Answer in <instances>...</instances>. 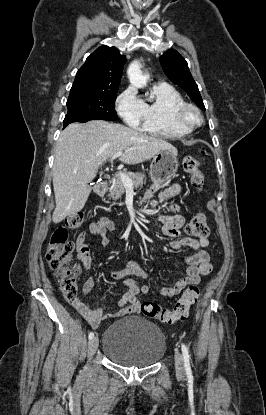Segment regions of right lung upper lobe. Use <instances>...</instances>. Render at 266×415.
<instances>
[{
  "label": "right lung upper lobe",
  "mask_w": 266,
  "mask_h": 415,
  "mask_svg": "<svg viewBox=\"0 0 266 415\" xmlns=\"http://www.w3.org/2000/svg\"><path fill=\"white\" fill-rule=\"evenodd\" d=\"M125 61L117 48L99 47L78 70L70 93L117 91Z\"/></svg>",
  "instance_id": "obj_1"
}]
</instances>
